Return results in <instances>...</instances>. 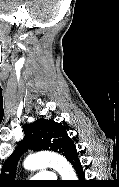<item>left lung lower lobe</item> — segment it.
<instances>
[{"instance_id":"left-lung-lower-lobe-1","label":"left lung lower lobe","mask_w":119,"mask_h":187,"mask_svg":"<svg viewBox=\"0 0 119 187\" xmlns=\"http://www.w3.org/2000/svg\"><path fill=\"white\" fill-rule=\"evenodd\" d=\"M67 160L72 164L78 177L80 178L79 182H83L85 176H84V172H83L81 163L78 158V153H77L75 144L72 146V148L67 156Z\"/></svg>"}]
</instances>
